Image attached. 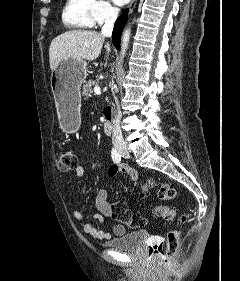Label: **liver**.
Returning a JSON list of instances; mask_svg holds the SVG:
<instances>
[{"instance_id": "1", "label": "liver", "mask_w": 240, "mask_h": 281, "mask_svg": "<svg viewBox=\"0 0 240 281\" xmlns=\"http://www.w3.org/2000/svg\"><path fill=\"white\" fill-rule=\"evenodd\" d=\"M105 37L96 31L71 30L55 37L49 48V62L52 71H55L60 62L66 59L95 60L101 53ZM107 58L110 45H105Z\"/></svg>"}]
</instances>
